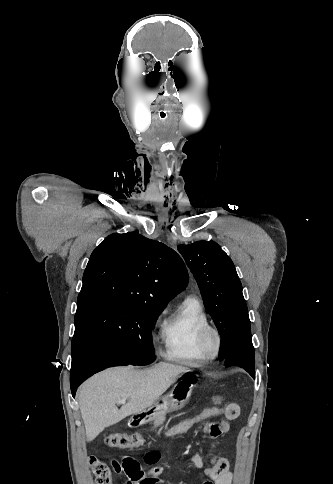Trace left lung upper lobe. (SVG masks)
<instances>
[{"instance_id":"left-lung-upper-lobe-1","label":"left lung upper lobe","mask_w":333,"mask_h":484,"mask_svg":"<svg viewBox=\"0 0 333 484\" xmlns=\"http://www.w3.org/2000/svg\"><path fill=\"white\" fill-rule=\"evenodd\" d=\"M178 250L193 273L205 308L221 335L219 360L225 361L231 340L250 322L235 266L214 241L179 245Z\"/></svg>"}]
</instances>
